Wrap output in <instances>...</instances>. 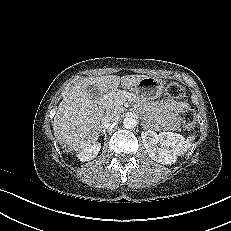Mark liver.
Returning <instances> with one entry per match:
<instances>
[{"label": "liver", "mask_w": 231, "mask_h": 231, "mask_svg": "<svg viewBox=\"0 0 231 231\" xmlns=\"http://www.w3.org/2000/svg\"><path fill=\"white\" fill-rule=\"evenodd\" d=\"M146 75H104L83 78L76 83L60 102L53 119L56 140L67 152L79 151L97 141L103 128V117L97 102L88 93L94 85L100 94H115L118 87L130 89Z\"/></svg>", "instance_id": "6515ba94"}]
</instances>
